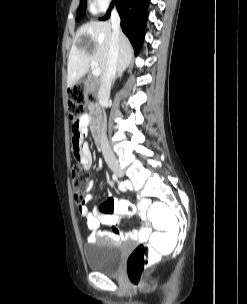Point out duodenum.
<instances>
[{
	"mask_svg": "<svg viewBox=\"0 0 247 304\" xmlns=\"http://www.w3.org/2000/svg\"><path fill=\"white\" fill-rule=\"evenodd\" d=\"M86 109H89L90 113L95 114V115H92L91 127L90 128L93 132V138H94L93 140L95 141L94 143L97 145V144H99V141H98L99 139L98 138H100V136L103 135L102 130L99 131V127L103 128V126H104L103 121L102 122L100 121V120L103 119V116L101 115V110L98 106H91V104H86Z\"/></svg>",
	"mask_w": 247,
	"mask_h": 304,
	"instance_id": "duodenum-1",
	"label": "duodenum"
}]
</instances>
